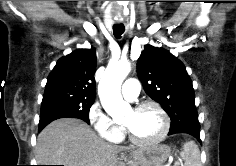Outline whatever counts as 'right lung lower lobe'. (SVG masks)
Wrapping results in <instances>:
<instances>
[{"label": "right lung lower lobe", "mask_w": 236, "mask_h": 166, "mask_svg": "<svg viewBox=\"0 0 236 166\" xmlns=\"http://www.w3.org/2000/svg\"><path fill=\"white\" fill-rule=\"evenodd\" d=\"M46 125H39V132L45 127Z\"/></svg>", "instance_id": "98d812e1"}]
</instances>
